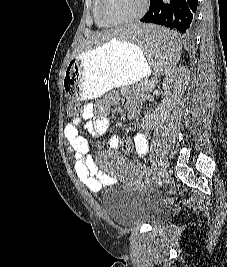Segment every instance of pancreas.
I'll use <instances>...</instances> for the list:
<instances>
[{
  "mask_svg": "<svg viewBox=\"0 0 227 267\" xmlns=\"http://www.w3.org/2000/svg\"><path fill=\"white\" fill-rule=\"evenodd\" d=\"M151 88V83L147 79L142 81L140 84H136L135 89L138 91H142L143 93H146L150 90Z\"/></svg>",
  "mask_w": 227,
  "mask_h": 267,
  "instance_id": "1",
  "label": "pancreas"
}]
</instances>
